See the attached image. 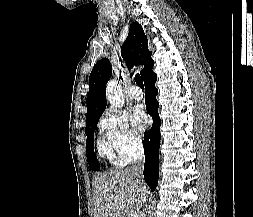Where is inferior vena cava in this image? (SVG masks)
<instances>
[{"label":"inferior vena cava","mask_w":253,"mask_h":217,"mask_svg":"<svg viewBox=\"0 0 253 217\" xmlns=\"http://www.w3.org/2000/svg\"><path fill=\"white\" fill-rule=\"evenodd\" d=\"M144 164V149L143 144L140 141H137L132 152L131 166L126 168V171L131 174L133 179V184L135 188V196H137L138 207L140 208L138 217H143L144 209L147 207V200L149 189L145 185L144 179H140L143 172Z\"/></svg>","instance_id":"inferior-vena-cava-1"}]
</instances>
